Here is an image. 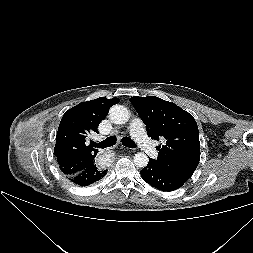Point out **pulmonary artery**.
Instances as JSON below:
<instances>
[{
	"label": "pulmonary artery",
	"mask_w": 253,
	"mask_h": 253,
	"mask_svg": "<svg viewBox=\"0 0 253 253\" xmlns=\"http://www.w3.org/2000/svg\"><path fill=\"white\" fill-rule=\"evenodd\" d=\"M129 130L133 139L147 155L153 158L157 156V149L150 141V139L147 137L143 123L140 119L134 118L130 122Z\"/></svg>",
	"instance_id": "pulmonary-artery-1"
}]
</instances>
